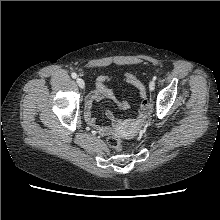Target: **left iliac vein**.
I'll return each instance as SVG.
<instances>
[{"label": "left iliac vein", "instance_id": "1", "mask_svg": "<svg viewBox=\"0 0 220 220\" xmlns=\"http://www.w3.org/2000/svg\"><path fill=\"white\" fill-rule=\"evenodd\" d=\"M155 89V82L152 80L150 83H149V90L150 91H153Z\"/></svg>", "mask_w": 220, "mask_h": 220}]
</instances>
